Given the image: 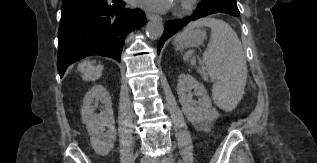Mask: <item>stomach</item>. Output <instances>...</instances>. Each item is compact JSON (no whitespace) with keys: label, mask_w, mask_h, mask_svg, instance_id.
I'll return each mask as SVG.
<instances>
[{"label":"stomach","mask_w":317,"mask_h":163,"mask_svg":"<svg viewBox=\"0 0 317 163\" xmlns=\"http://www.w3.org/2000/svg\"><path fill=\"white\" fill-rule=\"evenodd\" d=\"M205 38L206 34L204 31H201L200 29L189 30L178 35L175 38L174 44L176 45L177 49L196 47L201 45Z\"/></svg>","instance_id":"0dacf381"}]
</instances>
